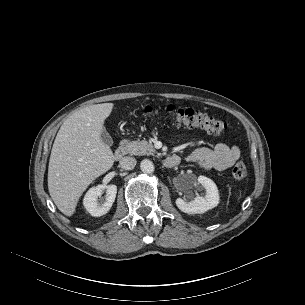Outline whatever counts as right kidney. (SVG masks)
Wrapping results in <instances>:
<instances>
[{"mask_svg":"<svg viewBox=\"0 0 305 305\" xmlns=\"http://www.w3.org/2000/svg\"><path fill=\"white\" fill-rule=\"evenodd\" d=\"M106 190V198L103 203H99L98 197ZM117 193L116 185H98L88 190L83 199V205L88 213L94 217L106 214L112 207Z\"/></svg>","mask_w":305,"mask_h":305,"instance_id":"ca27d5eb","label":"right kidney"}]
</instances>
